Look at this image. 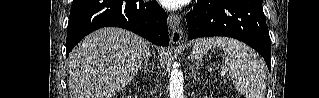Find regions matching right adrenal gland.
<instances>
[{"label":"right adrenal gland","mask_w":319,"mask_h":98,"mask_svg":"<svg viewBox=\"0 0 319 98\" xmlns=\"http://www.w3.org/2000/svg\"><path fill=\"white\" fill-rule=\"evenodd\" d=\"M150 57L151 55L148 53L146 54V58H145V66L142 68V72L144 71H149V66H150Z\"/></svg>","instance_id":"1"}]
</instances>
